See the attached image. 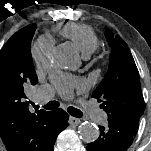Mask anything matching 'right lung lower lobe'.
<instances>
[{"instance_id":"98d812e1","label":"right lung lower lobe","mask_w":151,"mask_h":151,"mask_svg":"<svg viewBox=\"0 0 151 151\" xmlns=\"http://www.w3.org/2000/svg\"><path fill=\"white\" fill-rule=\"evenodd\" d=\"M68 118V114L60 108L50 113L49 121L46 125L51 143V150L49 151H53L57 135L68 126Z\"/></svg>"}]
</instances>
